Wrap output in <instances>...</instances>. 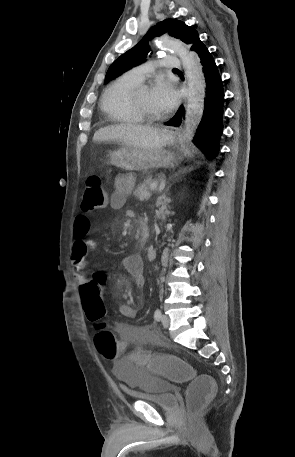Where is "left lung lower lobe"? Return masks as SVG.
Instances as JSON below:
<instances>
[{"instance_id":"obj_1","label":"left lung lower lobe","mask_w":295,"mask_h":457,"mask_svg":"<svg viewBox=\"0 0 295 457\" xmlns=\"http://www.w3.org/2000/svg\"><path fill=\"white\" fill-rule=\"evenodd\" d=\"M191 50L200 59L206 82L204 112L193 143L201 149L207 159H213L218 153L219 139L223 131L224 91L222 80L211 53L200 38L193 43ZM184 116V108L181 106L175 116L166 124L179 125Z\"/></svg>"}]
</instances>
